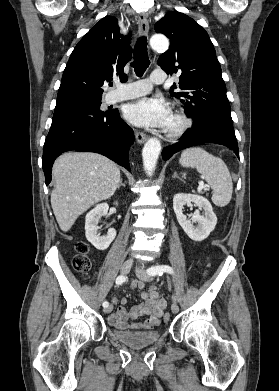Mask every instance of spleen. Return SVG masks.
<instances>
[{
    "mask_svg": "<svg viewBox=\"0 0 279 391\" xmlns=\"http://www.w3.org/2000/svg\"><path fill=\"white\" fill-rule=\"evenodd\" d=\"M183 167L196 168L213 189L212 201L219 207L226 206L232 197L233 183L224 161L201 147L184 150L179 159Z\"/></svg>",
    "mask_w": 279,
    "mask_h": 391,
    "instance_id": "1",
    "label": "spleen"
}]
</instances>
